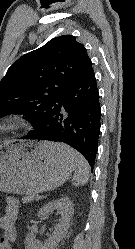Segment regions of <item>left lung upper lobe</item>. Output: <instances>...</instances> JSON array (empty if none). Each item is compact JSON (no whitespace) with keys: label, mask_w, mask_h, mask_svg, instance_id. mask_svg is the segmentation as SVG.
Masks as SVG:
<instances>
[{"label":"left lung upper lobe","mask_w":135,"mask_h":249,"mask_svg":"<svg viewBox=\"0 0 135 249\" xmlns=\"http://www.w3.org/2000/svg\"><path fill=\"white\" fill-rule=\"evenodd\" d=\"M91 68L87 51L75 36L51 39L19 58L0 81V118L25 114L37 129L59 95Z\"/></svg>","instance_id":"5c2ea615"}]
</instances>
